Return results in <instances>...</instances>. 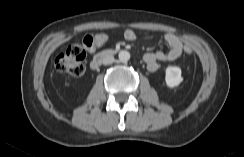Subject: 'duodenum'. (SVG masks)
I'll list each match as a JSON object with an SVG mask.
<instances>
[{"label":"duodenum","mask_w":244,"mask_h":157,"mask_svg":"<svg viewBox=\"0 0 244 157\" xmlns=\"http://www.w3.org/2000/svg\"><path fill=\"white\" fill-rule=\"evenodd\" d=\"M118 50L116 49H107L97 53L91 60L90 66L92 69H96L101 65L104 59L116 54Z\"/></svg>","instance_id":"obj_1"}]
</instances>
